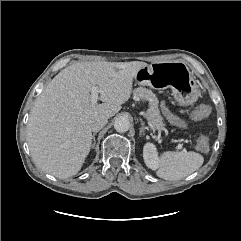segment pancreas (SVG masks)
Segmentation results:
<instances>
[{"mask_svg":"<svg viewBox=\"0 0 241 241\" xmlns=\"http://www.w3.org/2000/svg\"><path fill=\"white\" fill-rule=\"evenodd\" d=\"M133 95L137 100L142 99L149 101V108L145 117L151 121L158 131H163L165 129V124L158 108L159 100L156 95L151 90L143 87L136 88L133 91Z\"/></svg>","mask_w":241,"mask_h":241,"instance_id":"obj_1","label":"pancreas"}]
</instances>
